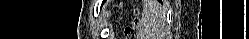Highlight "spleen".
Instances as JSON below:
<instances>
[{
    "label": "spleen",
    "mask_w": 249,
    "mask_h": 39,
    "mask_svg": "<svg viewBox=\"0 0 249 39\" xmlns=\"http://www.w3.org/2000/svg\"><path fill=\"white\" fill-rule=\"evenodd\" d=\"M167 33L165 10L156 0H145L139 36L142 39H164Z\"/></svg>",
    "instance_id": "3e777b00"
}]
</instances>
